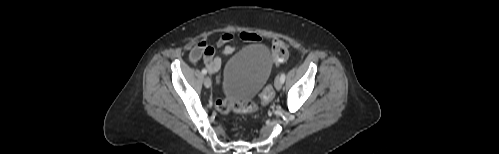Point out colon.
Here are the masks:
<instances>
[{
	"instance_id": "obj_1",
	"label": "colon",
	"mask_w": 499,
	"mask_h": 154,
	"mask_svg": "<svg viewBox=\"0 0 499 154\" xmlns=\"http://www.w3.org/2000/svg\"><path fill=\"white\" fill-rule=\"evenodd\" d=\"M194 57H203L205 61L210 60L214 56V49L205 45V43H198L193 50ZM272 54L274 62H284L288 57V49L284 42L274 40L272 46ZM273 98L272 89L267 86L260 94L259 104L253 101L244 102H231L227 99H219L216 101V110L221 114H228L231 112L249 114L257 111L260 107H264L270 103Z\"/></svg>"
}]
</instances>
